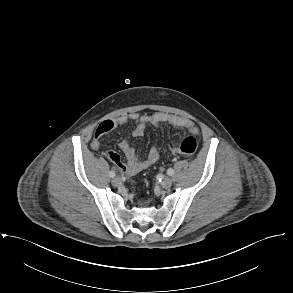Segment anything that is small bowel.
I'll return each instance as SVG.
<instances>
[{
    "label": "small bowel",
    "instance_id": "obj_1",
    "mask_svg": "<svg viewBox=\"0 0 293 293\" xmlns=\"http://www.w3.org/2000/svg\"><path fill=\"white\" fill-rule=\"evenodd\" d=\"M130 121L138 122L132 132V135L137 138L144 135L148 126L159 127L162 124H169L173 127L184 129L192 134L198 133L197 126L191 120L181 116L162 112L142 116H139L137 113L123 114L116 118L105 119L96 127L91 142L92 149L99 150L105 135ZM119 148L126 156L127 163H123L119 155L114 151H108L106 157L119 170L130 176L150 167L159 159V150L156 146H152L149 149L148 154L144 159H140L136 155L134 148L130 145L128 140L121 141Z\"/></svg>",
    "mask_w": 293,
    "mask_h": 293
}]
</instances>
